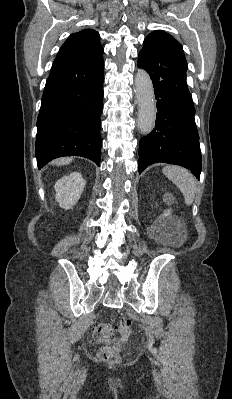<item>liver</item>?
<instances>
[{
  "instance_id": "obj_1",
  "label": "liver",
  "mask_w": 232,
  "mask_h": 399,
  "mask_svg": "<svg viewBox=\"0 0 232 399\" xmlns=\"http://www.w3.org/2000/svg\"><path fill=\"white\" fill-rule=\"evenodd\" d=\"M73 158H58V160H54L51 162L52 166H68L71 164Z\"/></svg>"
}]
</instances>
